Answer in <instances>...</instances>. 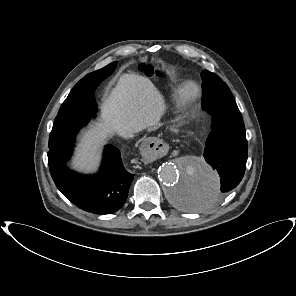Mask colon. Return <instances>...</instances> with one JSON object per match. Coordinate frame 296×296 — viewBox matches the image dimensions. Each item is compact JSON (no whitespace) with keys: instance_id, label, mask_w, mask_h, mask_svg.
Instances as JSON below:
<instances>
[{"instance_id":"1","label":"colon","mask_w":296,"mask_h":296,"mask_svg":"<svg viewBox=\"0 0 296 296\" xmlns=\"http://www.w3.org/2000/svg\"><path fill=\"white\" fill-rule=\"evenodd\" d=\"M141 71L144 72L147 76L152 77L155 75L154 70L150 66H141Z\"/></svg>"}]
</instances>
